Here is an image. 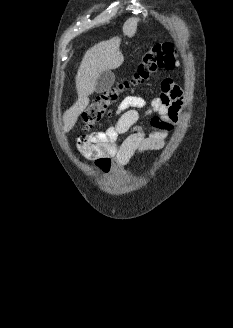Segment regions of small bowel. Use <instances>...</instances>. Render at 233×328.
I'll return each mask as SVG.
<instances>
[{"instance_id":"c3829d8e","label":"small bowel","mask_w":233,"mask_h":328,"mask_svg":"<svg viewBox=\"0 0 233 328\" xmlns=\"http://www.w3.org/2000/svg\"><path fill=\"white\" fill-rule=\"evenodd\" d=\"M184 102L181 88L171 79H164L159 96L145 99L127 96L117 108L118 118L104 131H94L81 136L77 141L78 149L90 157H105L112 163L114 174H126L130 160L146 151L164 147L161 135L146 136L137 125L141 110L144 115L157 113L163 118L175 121Z\"/></svg>"}]
</instances>
